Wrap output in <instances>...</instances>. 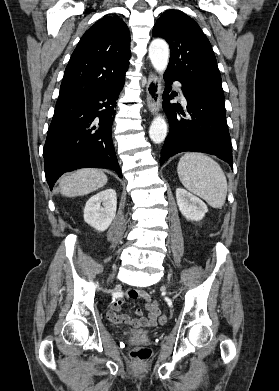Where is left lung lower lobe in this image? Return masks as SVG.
<instances>
[{"instance_id":"1","label":"left lung lower lobe","mask_w":279,"mask_h":391,"mask_svg":"<svg viewBox=\"0 0 279 391\" xmlns=\"http://www.w3.org/2000/svg\"><path fill=\"white\" fill-rule=\"evenodd\" d=\"M164 79L168 83L163 94V108L170 122V131L161 150L160 164L179 152L194 151L214 154L233 168L224 105L183 85L187 100L185 113L180 105L169 102L176 96V93L173 96L168 94L171 80L175 79L166 75Z\"/></svg>"}]
</instances>
